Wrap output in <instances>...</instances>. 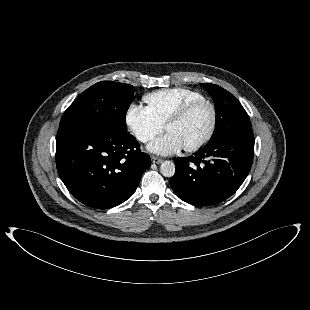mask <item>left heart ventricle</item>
<instances>
[{
    "label": "left heart ventricle",
    "instance_id": "b2bd125f",
    "mask_svg": "<svg viewBox=\"0 0 310 310\" xmlns=\"http://www.w3.org/2000/svg\"><path fill=\"white\" fill-rule=\"evenodd\" d=\"M210 119V108L203 104L194 109L183 121L168 127L167 132L176 135L183 147L191 146L203 138Z\"/></svg>",
    "mask_w": 310,
    "mask_h": 310
}]
</instances>
